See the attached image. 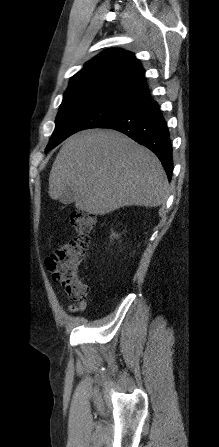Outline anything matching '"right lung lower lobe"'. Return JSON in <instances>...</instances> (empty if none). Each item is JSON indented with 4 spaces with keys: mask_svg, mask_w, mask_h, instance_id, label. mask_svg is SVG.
I'll return each instance as SVG.
<instances>
[{
    "mask_svg": "<svg viewBox=\"0 0 219 447\" xmlns=\"http://www.w3.org/2000/svg\"><path fill=\"white\" fill-rule=\"evenodd\" d=\"M97 128L120 131L150 149L161 161L168 179H171L173 160L169 131L160 107L155 101L149 99L107 120Z\"/></svg>",
    "mask_w": 219,
    "mask_h": 447,
    "instance_id": "obj_1",
    "label": "right lung lower lobe"
}]
</instances>
